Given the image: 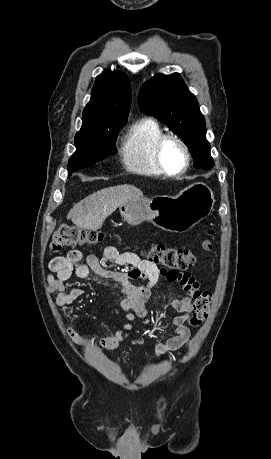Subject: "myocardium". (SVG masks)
Segmentation results:
<instances>
[{"label": "myocardium", "instance_id": "f54148a6", "mask_svg": "<svg viewBox=\"0 0 271 459\" xmlns=\"http://www.w3.org/2000/svg\"><path fill=\"white\" fill-rule=\"evenodd\" d=\"M168 139L178 140L186 152L187 163H186L185 168L181 171H178V172L170 171L164 162L163 145ZM153 154H154V160L156 164L158 165V167L162 170V172L165 175L172 177V178L180 177L186 174L189 171L192 165V162H193V154H192L189 144L181 135L175 132H167V133L161 134L155 141Z\"/></svg>", "mask_w": 271, "mask_h": 459}]
</instances>
